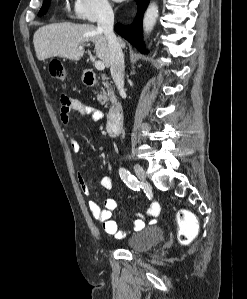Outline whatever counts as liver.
Listing matches in <instances>:
<instances>
[{"label": "liver", "mask_w": 247, "mask_h": 299, "mask_svg": "<svg viewBox=\"0 0 247 299\" xmlns=\"http://www.w3.org/2000/svg\"><path fill=\"white\" fill-rule=\"evenodd\" d=\"M88 41L94 43L96 56L106 67H109L108 41L102 31L92 24L54 23L40 27L33 37L34 48L39 61L51 57L78 61L84 55L82 44ZM119 42L124 46L123 42Z\"/></svg>", "instance_id": "liver-1"}]
</instances>
